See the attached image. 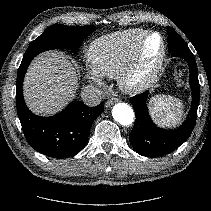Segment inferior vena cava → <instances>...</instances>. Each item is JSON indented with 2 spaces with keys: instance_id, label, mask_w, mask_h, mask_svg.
I'll list each match as a JSON object with an SVG mask.
<instances>
[{
  "instance_id": "obj_1",
  "label": "inferior vena cava",
  "mask_w": 211,
  "mask_h": 211,
  "mask_svg": "<svg viewBox=\"0 0 211 211\" xmlns=\"http://www.w3.org/2000/svg\"><path fill=\"white\" fill-rule=\"evenodd\" d=\"M103 97V92L94 86H85L81 91V98L87 106H97Z\"/></svg>"
}]
</instances>
